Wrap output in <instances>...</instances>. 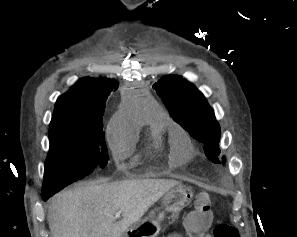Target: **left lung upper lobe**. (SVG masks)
Here are the masks:
<instances>
[{
    "instance_id": "obj_1",
    "label": "left lung upper lobe",
    "mask_w": 297,
    "mask_h": 237,
    "mask_svg": "<svg viewBox=\"0 0 297 237\" xmlns=\"http://www.w3.org/2000/svg\"><path fill=\"white\" fill-rule=\"evenodd\" d=\"M153 87L172 118L192 137L204 143L205 154L211 161L220 163V126L204 95L193 84L176 75L164 76Z\"/></svg>"
}]
</instances>
